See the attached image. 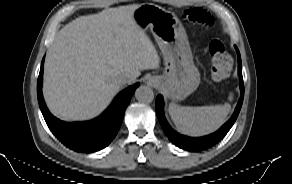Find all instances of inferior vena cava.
<instances>
[{"label": "inferior vena cava", "instance_id": "1", "mask_svg": "<svg viewBox=\"0 0 292 184\" xmlns=\"http://www.w3.org/2000/svg\"><path fill=\"white\" fill-rule=\"evenodd\" d=\"M130 79L125 77V76H120L118 79H117V83L118 85L120 86H123L125 84H129L130 83Z\"/></svg>", "mask_w": 292, "mask_h": 184}]
</instances>
